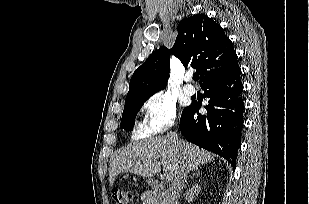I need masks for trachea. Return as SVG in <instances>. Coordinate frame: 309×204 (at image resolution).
Instances as JSON below:
<instances>
[{
    "label": "trachea",
    "instance_id": "trachea-1",
    "mask_svg": "<svg viewBox=\"0 0 309 204\" xmlns=\"http://www.w3.org/2000/svg\"><path fill=\"white\" fill-rule=\"evenodd\" d=\"M193 79H194L195 81H197V80L199 79V74H198V73H195V74L193 75Z\"/></svg>",
    "mask_w": 309,
    "mask_h": 204
}]
</instances>
